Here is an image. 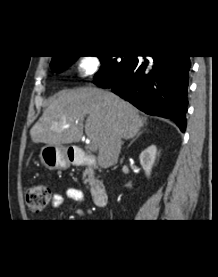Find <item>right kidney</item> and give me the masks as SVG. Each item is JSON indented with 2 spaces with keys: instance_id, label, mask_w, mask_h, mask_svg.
I'll list each match as a JSON object with an SVG mask.
<instances>
[{
  "instance_id": "right-kidney-1",
  "label": "right kidney",
  "mask_w": 218,
  "mask_h": 277,
  "mask_svg": "<svg viewBox=\"0 0 218 277\" xmlns=\"http://www.w3.org/2000/svg\"><path fill=\"white\" fill-rule=\"evenodd\" d=\"M157 148L155 145H151L141 152L139 159L140 164L145 170L146 176H150L153 164L156 159Z\"/></svg>"
}]
</instances>
